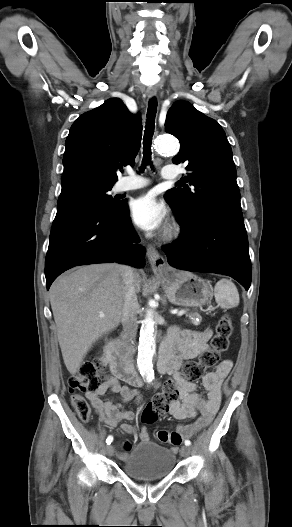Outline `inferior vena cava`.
Segmentation results:
<instances>
[{"mask_svg":"<svg viewBox=\"0 0 292 527\" xmlns=\"http://www.w3.org/2000/svg\"><path fill=\"white\" fill-rule=\"evenodd\" d=\"M123 282L124 303L122 311V323L126 338L131 343L137 334V312L139 309V303L136 294L137 290L134 280V271L129 266H124Z\"/></svg>","mask_w":292,"mask_h":527,"instance_id":"1","label":"inferior vena cava"}]
</instances>
